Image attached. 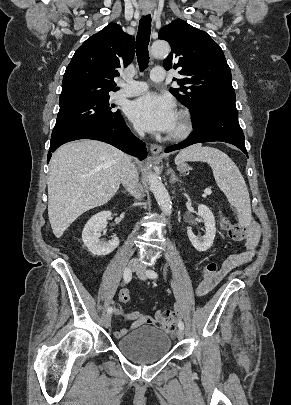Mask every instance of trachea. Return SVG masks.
Returning a JSON list of instances; mask_svg holds the SVG:
<instances>
[{"label":"trachea","mask_w":291,"mask_h":405,"mask_svg":"<svg viewBox=\"0 0 291 405\" xmlns=\"http://www.w3.org/2000/svg\"><path fill=\"white\" fill-rule=\"evenodd\" d=\"M151 33V15L142 16L136 37V55L139 68L144 71L149 63L148 44Z\"/></svg>","instance_id":"1"}]
</instances>
